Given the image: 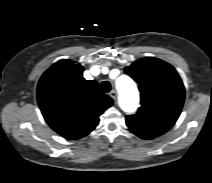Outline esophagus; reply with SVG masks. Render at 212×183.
<instances>
[{
    "instance_id": "34e87169",
    "label": "esophagus",
    "mask_w": 212,
    "mask_h": 183,
    "mask_svg": "<svg viewBox=\"0 0 212 183\" xmlns=\"http://www.w3.org/2000/svg\"><path fill=\"white\" fill-rule=\"evenodd\" d=\"M110 97L113 99V100H116L117 98V92L115 90H112L110 93H109Z\"/></svg>"
}]
</instances>
